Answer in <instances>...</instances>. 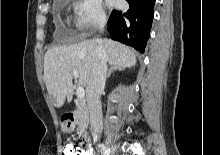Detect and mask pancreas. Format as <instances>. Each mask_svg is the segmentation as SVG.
Segmentation results:
<instances>
[{"label": "pancreas", "mask_w": 220, "mask_h": 155, "mask_svg": "<svg viewBox=\"0 0 220 155\" xmlns=\"http://www.w3.org/2000/svg\"><path fill=\"white\" fill-rule=\"evenodd\" d=\"M75 116L76 124L78 125L80 132H83L88 127L89 123L88 110L84 102L80 101L77 103Z\"/></svg>", "instance_id": "obj_1"}]
</instances>
